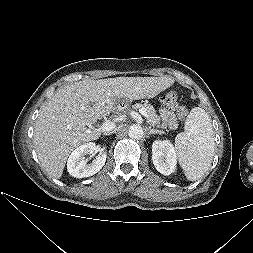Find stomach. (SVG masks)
Listing matches in <instances>:
<instances>
[{
  "instance_id": "obj_1",
  "label": "stomach",
  "mask_w": 253,
  "mask_h": 253,
  "mask_svg": "<svg viewBox=\"0 0 253 253\" xmlns=\"http://www.w3.org/2000/svg\"><path fill=\"white\" fill-rule=\"evenodd\" d=\"M168 99H169V96L166 95L162 101L166 103L168 102ZM131 108H132V102L130 99L125 98V97H119L116 99L115 109L117 111L122 112V113H127L131 110Z\"/></svg>"
}]
</instances>
